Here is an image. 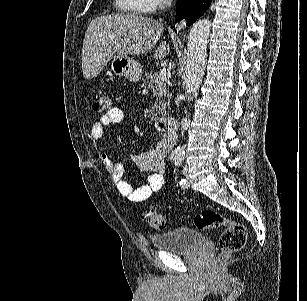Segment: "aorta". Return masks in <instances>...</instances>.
<instances>
[{
	"mask_svg": "<svg viewBox=\"0 0 307 301\" xmlns=\"http://www.w3.org/2000/svg\"><path fill=\"white\" fill-rule=\"evenodd\" d=\"M211 30L209 18H201L194 22L188 36L187 42V64L185 78V100H192L202 82L206 60L207 42Z\"/></svg>",
	"mask_w": 307,
	"mask_h": 301,
	"instance_id": "aorta-1",
	"label": "aorta"
}]
</instances>
